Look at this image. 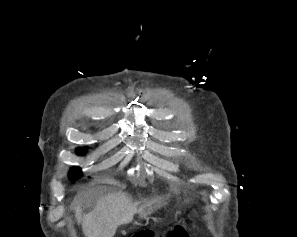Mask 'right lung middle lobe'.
Wrapping results in <instances>:
<instances>
[{"instance_id":"1","label":"right lung middle lobe","mask_w":297,"mask_h":237,"mask_svg":"<svg viewBox=\"0 0 297 237\" xmlns=\"http://www.w3.org/2000/svg\"><path fill=\"white\" fill-rule=\"evenodd\" d=\"M77 152L79 154H84V151L82 149H78ZM71 175H70V178L72 180H74V178H79L80 175H81V171H80V168L79 167H74L71 169L70 171Z\"/></svg>"}]
</instances>
